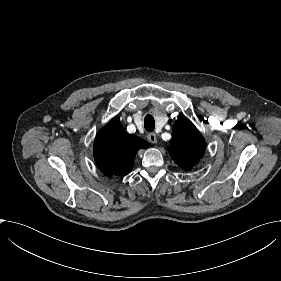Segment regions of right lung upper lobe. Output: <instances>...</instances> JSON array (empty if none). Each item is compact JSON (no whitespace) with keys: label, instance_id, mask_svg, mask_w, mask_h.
Wrapping results in <instances>:
<instances>
[{"label":"right lung upper lobe","instance_id":"right-lung-upper-lobe-1","mask_svg":"<svg viewBox=\"0 0 281 281\" xmlns=\"http://www.w3.org/2000/svg\"><path fill=\"white\" fill-rule=\"evenodd\" d=\"M147 147L143 139L128 134L121 122L112 119L95 139L94 158L106 176H123L132 170L137 151Z\"/></svg>","mask_w":281,"mask_h":281}]
</instances>
